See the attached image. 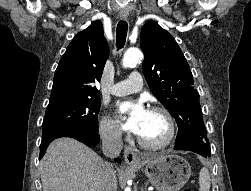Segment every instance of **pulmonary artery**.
<instances>
[{
  "instance_id": "pulmonary-artery-1",
  "label": "pulmonary artery",
  "mask_w": 251,
  "mask_h": 191,
  "mask_svg": "<svg viewBox=\"0 0 251 191\" xmlns=\"http://www.w3.org/2000/svg\"><path fill=\"white\" fill-rule=\"evenodd\" d=\"M143 87V77L137 72L133 71L129 74L128 78L113 84L109 91L116 96H123L133 92L140 91Z\"/></svg>"
}]
</instances>
